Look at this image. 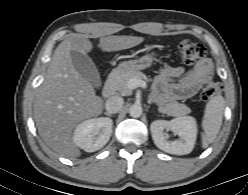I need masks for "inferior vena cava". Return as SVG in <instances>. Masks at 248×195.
Segmentation results:
<instances>
[{"instance_id":"inferior-vena-cava-1","label":"inferior vena cava","mask_w":248,"mask_h":195,"mask_svg":"<svg viewBox=\"0 0 248 195\" xmlns=\"http://www.w3.org/2000/svg\"><path fill=\"white\" fill-rule=\"evenodd\" d=\"M124 100L119 96H112L107 99L105 108L108 113H117L123 106Z\"/></svg>"}]
</instances>
